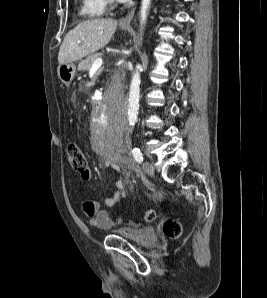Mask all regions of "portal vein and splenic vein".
<instances>
[{"instance_id": "1", "label": "portal vein and splenic vein", "mask_w": 267, "mask_h": 298, "mask_svg": "<svg viewBox=\"0 0 267 298\" xmlns=\"http://www.w3.org/2000/svg\"><path fill=\"white\" fill-rule=\"evenodd\" d=\"M78 43H80V41H78ZM102 64H103V60H102V58L99 57L93 62L91 68L97 70L102 66Z\"/></svg>"}]
</instances>
